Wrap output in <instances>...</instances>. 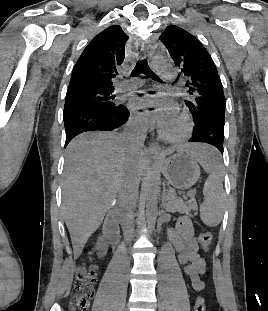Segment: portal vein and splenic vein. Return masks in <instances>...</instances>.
<instances>
[{"label": "portal vein and splenic vein", "instance_id": "portal-vein-and-splenic-vein-1", "mask_svg": "<svg viewBox=\"0 0 268 311\" xmlns=\"http://www.w3.org/2000/svg\"><path fill=\"white\" fill-rule=\"evenodd\" d=\"M192 194H194V192H190L188 195H192Z\"/></svg>", "mask_w": 268, "mask_h": 311}]
</instances>
